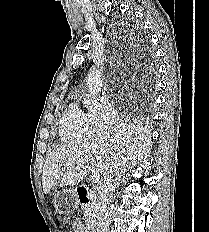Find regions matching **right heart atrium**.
Wrapping results in <instances>:
<instances>
[{"instance_id": "d8ad5b80", "label": "right heart atrium", "mask_w": 209, "mask_h": 232, "mask_svg": "<svg viewBox=\"0 0 209 232\" xmlns=\"http://www.w3.org/2000/svg\"><path fill=\"white\" fill-rule=\"evenodd\" d=\"M88 116L93 132L99 133L117 121L118 113L110 98L102 96L90 100Z\"/></svg>"}]
</instances>
